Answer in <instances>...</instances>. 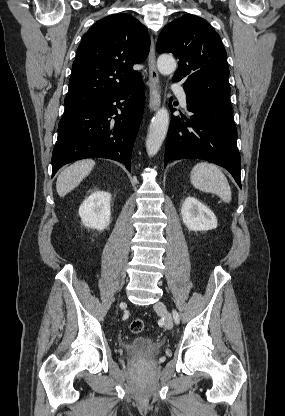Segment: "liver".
Segmentation results:
<instances>
[{"label":"liver","instance_id":"1","mask_svg":"<svg viewBox=\"0 0 285 416\" xmlns=\"http://www.w3.org/2000/svg\"><path fill=\"white\" fill-rule=\"evenodd\" d=\"M93 166H95L93 160H80V162H75V164H72V166L63 170V172L59 174L56 182L58 196L63 198L68 192L77 188L80 182H82L86 176H89Z\"/></svg>","mask_w":285,"mask_h":416}]
</instances>
